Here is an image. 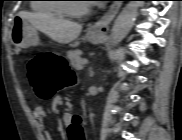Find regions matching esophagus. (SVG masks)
Returning <instances> with one entry per match:
<instances>
[{"mask_svg":"<svg viewBox=\"0 0 182 140\" xmlns=\"http://www.w3.org/2000/svg\"><path fill=\"white\" fill-rule=\"evenodd\" d=\"M121 1H113L102 17L90 27V32L97 35H105L121 7Z\"/></svg>","mask_w":182,"mask_h":140,"instance_id":"1","label":"esophagus"}]
</instances>
